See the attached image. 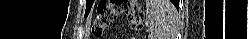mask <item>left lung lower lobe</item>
<instances>
[{"instance_id": "1", "label": "left lung lower lobe", "mask_w": 249, "mask_h": 39, "mask_svg": "<svg viewBox=\"0 0 249 39\" xmlns=\"http://www.w3.org/2000/svg\"><path fill=\"white\" fill-rule=\"evenodd\" d=\"M172 2L176 6V8H178V1L173 0Z\"/></svg>"}]
</instances>
